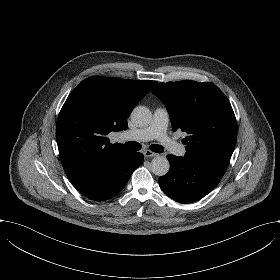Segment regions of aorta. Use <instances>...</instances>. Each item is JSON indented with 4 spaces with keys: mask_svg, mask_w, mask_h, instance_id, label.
I'll return each mask as SVG.
<instances>
[{
    "mask_svg": "<svg viewBox=\"0 0 280 280\" xmlns=\"http://www.w3.org/2000/svg\"><path fill=\"white\" fill-rule=\"evenodd\" d=\"M152 114L145 106H137L131 112V120L137 127H146L151 122ZM168 160L163 156L152 159L150 170L156 176H165L169 171Z\"/></svg>",
    "mask_w": 280,
    "mask_h": 280,
    "instance_id": "762f6f07",
    "label": "aorta"
}]
</instances>
